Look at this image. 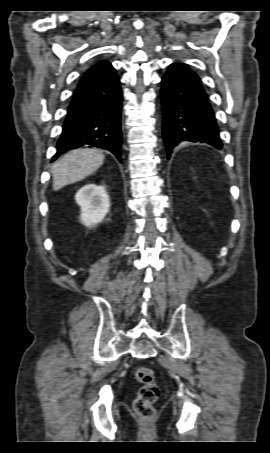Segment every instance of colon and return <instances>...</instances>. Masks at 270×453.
Segmentation results:
<instances>
[{"label":"colon","instance_id":"colon-1","mask_svg":"<svg viewBox=\"0 0 270 453\" xmlns=\"http://www.w3.org/2000/svg\"><path fill=\"white\" fill-rule=\"evenodd\" d=\"M135 378L142 384L134 402L135 411L141 418L151 419L154 416V404L160 395V386L153 371L145 366L136 368Z\"/></svg>","mask_w":270,"mask_h":453}]
</instances>
